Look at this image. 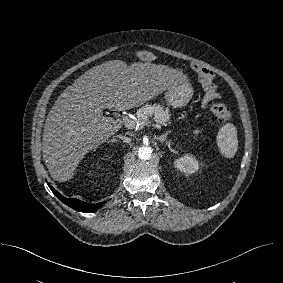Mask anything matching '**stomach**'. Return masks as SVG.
I'll use <instances>...</instances> for the list:
<instances>
[{
    "label": "stomach",
    "mask_w": 283,
    "mask_h": 283,
    "mask_svg": "<svg viewBox=\"0 0 283 283\" xmlns=\"http://www.w3.org/2000/svg\"><path fill=\"white\" fill-rule=\"evenodd\" d=\"M193 96V88L186 81H179L171 86L165 93L167 103L174 107L185 106Z\"/></svg>",
    "instance_id": "stomach-1"
}]
</instances>
